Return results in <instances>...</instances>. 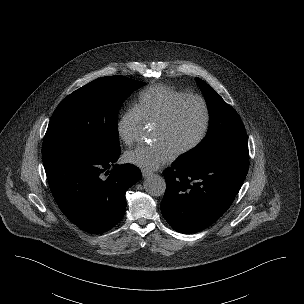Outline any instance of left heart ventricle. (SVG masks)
Wrapping results in <instances>:
<instances>
[{"label": "left heart ventricle", "instance_id": "1", "mask_svg": "<svg viewBox=\"0 0 304 304\" xmlns=\"http://www.w3.org/2000/svg\"><path fill=\"white\" fill-rule=\"evenodd\" d=\"M203 112L197 101L184 103L165 128H155L154 142L166 144L174 153L190 144L197 136Z\"/></svg>", "mask_w": 304, "mask_h": 304}]
</instances>
